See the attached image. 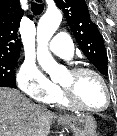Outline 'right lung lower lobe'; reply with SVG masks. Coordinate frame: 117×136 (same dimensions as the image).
Masks as SVG:
<instances>
[{"label":"right lung lower lobe","instance_id":"1","mask_svg":"<svg viewBox=\"0 0 117 136\" xmlns=\"http://www.w3.org/2000/svg\"><path fill=\"white\" fill-rule=\"evenodd\" d=\"M0 87H12V88H16L15 85H12V84H0Z\"/></svg>","mask_w":117,"mask_h":136}]
</instances>
